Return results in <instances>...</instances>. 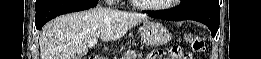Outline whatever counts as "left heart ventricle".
Masks as SVG:
<instances>
[{"label":"left heart ventricle","mask_w":261,"mask_h":59,"mask_svg":"<svg viewBox=\"0 0 261 59\" xmlns=\"http://www.w3.org/2000/svg\"><path fill=\"white\" fill-rule=\"evenodd\" d=\"M143 2L148 3V4L160 5V4H165V3L170 2V0H151V1H143Z\"/></svg>","instance_id":"1"}]
</instances>
